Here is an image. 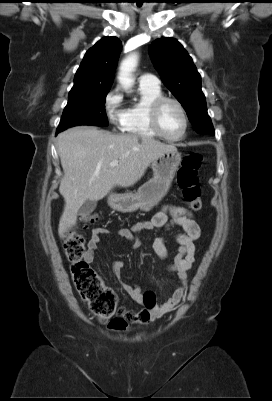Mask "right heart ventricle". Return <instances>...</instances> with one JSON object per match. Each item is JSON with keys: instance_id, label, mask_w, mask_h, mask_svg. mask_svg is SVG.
I'll list each match as a JSON object with an SVG mask.
<instances>
[{"instance_id": "right-heart-ventricle-1", "label": "right heart ventricle", "mask_w": 272, "mask_h": 401, "mask_svg": "<svg viewBox=\"0 0 272 401\" xmlns=\"http://www.w3.org/2000/svg\"><path fill=\"white\" fill-rule=\"evenodd\" d=\"M140 98L126 110L121 126L122 132L139 138H158L152 129L149 120V111L152 103L163 96L160 87H139Z\"/></svg>"}]
</instances>
